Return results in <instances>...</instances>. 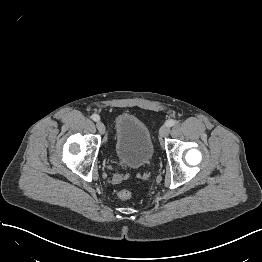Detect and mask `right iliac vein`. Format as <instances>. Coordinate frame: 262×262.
Segmentation results:
<instances>
[{"mask_svg": "<svg viewBox=\"0 0 262 262\" xmlns=\"http://www.w3.org/2000/svg\"><path fill=\"white\" fill-rule=\"evenodd\" d=\"M96 126H97L98 131H99L101 134H104V133H105V125H104L103 122L98 121L97 124H96Z\"/></svg>", "mask_w": 262, "mask_h": 262, "instance_id": "1", "label": "right iliac vein"}]
</instances>
